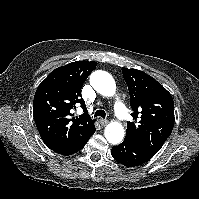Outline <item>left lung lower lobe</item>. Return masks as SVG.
<instances>
[{
	"label": "left lung lower lobe",
	"mask_w": 199,
	"mask_h": 199,
	"mask_svg": "<svg viewBox=\"0 0 199 199\" xmlns=\"http://www.w3.org/2000/svg\"><path fill=\"white\" fill-rule=\"evenodd\" d=\"M111 154L116 161L128 167L141 165L155 155L127 138L120 145L114 146Z\"/></svg>",
	"instance_id": "left-lung-lower-lobe-1"
}]
</instances>
